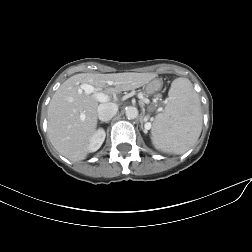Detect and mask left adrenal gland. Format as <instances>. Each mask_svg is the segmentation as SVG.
<instances>
[{
	"label": "left adrenal gland",
	"instance_id": "obj_1",
	"mask_svg": "<svg viewBox=\"0 0 252 252\" xmlns=\"http://www.w3.org/2000/svg\"><path fill=\"white\" fill-rule=\"evenodd\" d=\"M141 128H142L144 133H147V130L143 128V123L142 122H141Z\"/></svg>",
	"mask_w": 252,
	"mask_h": 252
}]
</instances>
